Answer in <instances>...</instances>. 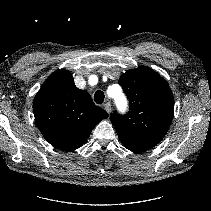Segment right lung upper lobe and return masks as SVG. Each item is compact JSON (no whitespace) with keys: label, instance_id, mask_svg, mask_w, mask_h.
Returning a JSON list of instances; mask_svg holds the SVG:
<instances>
[{"label":"right lung upper lobe","instance_id":"1","mask_svg":"<svg viewBox=\"0 0 211 211\" xmlns=\"http://www.w3.org/2000/svg\"><path fill=\"white\" fill-rule=\"evenodd\" d=\"M33 110L44 138L64 151L81 147L93 128L108 117L88 92L76 88L71 73L64 69L47 78L34 98Z\"/></svg>","mask_w":211,"mask_h":211}]
</instances>
